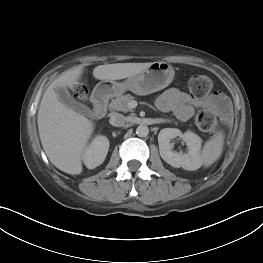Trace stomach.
Segmentation results:
<instances>
[{"label": "stomach", "instance_id": "0dacf381", "mask_svg": "<svg viewBox=\"0 0 263 263\" xmlns=\"http://www.w3.org/2000/svg\"><path fill=\"white\" fill-rule=\"evenodd\" d=\"M174 78V70L167 62H153L138 74L122 82L104 80L98 83L93 95L112 97L126 91L137 95H148L167 87Z\"/></svg>", "mask_w": 263, "mask_h": 263}]
</instances>
